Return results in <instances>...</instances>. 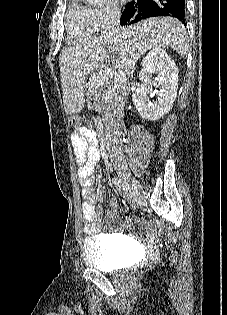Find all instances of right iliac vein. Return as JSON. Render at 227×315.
<instances>
[{
    "label": "right iliac vein",
    "mask_w": 227,
    "mask_h": 315,
    "mask_svg": "<svg viewBox=\"0 0 227 315\" xmlns=\"http://www.w3.org/2000/svg\"><path fill=\"white\" fill-rule=\"evenodd\" d=\"M119 177L124 183L131 187L133 194L137 199H142L144 197V191L140 183L131 176V174L126 170H120L118 172Z\"/></svg>",
    "instance_id": "right-iliac-vein-1"
}]
</instances>
